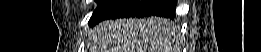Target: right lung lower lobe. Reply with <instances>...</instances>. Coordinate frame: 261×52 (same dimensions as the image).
<instances>
[{"mask_svg": "<svg viewBox=\"0 0 261 52\" xmlns=\"http://www.w3.org/2000/svg\"><path fill=\"white\" fill-rule=\"evenodd\" d=\"M176 0H106L96 8L89 24L109 18L160 16L174 19Z\"/></svg>", "mask_w": 261, "mask_h": 52, "instance_id": "right-lung-lower-lobe-1", "label": "right lung lower lobe"}]
</instances>
